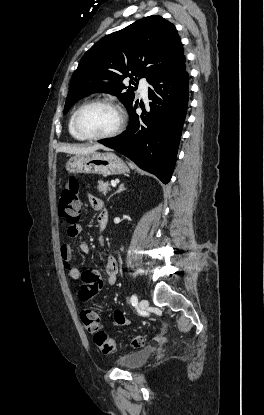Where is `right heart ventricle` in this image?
<instances>
[{
  "label": "right heart ventricle",
  "mask_w": 264,
  "mask_h": 415,
  "mask_svg": "<svg viewBox=\"0 0 264 415\" xmlns=\"http://www.w3.org/2000/svg\"><path fill=\"white\" fill-rule=\"evenodd\" d=\"M75 111L70 115L69 117V121H68V131L70 133V135L75 138L78 141H84L83 138H81L74 130L73 128V116H74Z\"/></svg>",
  "instance_id": "obj_1"
}]
</instances>
